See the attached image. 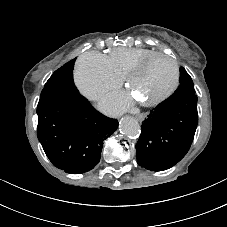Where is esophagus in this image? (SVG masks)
<instances>
[{
	"label": "esophagus",
	"mask_w": 227,
	"mask_h": 227,
	"mask_svg": "<svg viewBox=\"0 0 227 227\" xmlns=\"http://www.w3.org/2000/svg\"><path fill=\"white\" fill-rule=\"evenodd\" d=\"M146 115L144 113H139L136 115V118L142 122L145 119Z\"/></svg>",
	"instance_id": "esophagus-1"
}]
</instances>
